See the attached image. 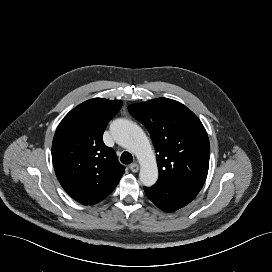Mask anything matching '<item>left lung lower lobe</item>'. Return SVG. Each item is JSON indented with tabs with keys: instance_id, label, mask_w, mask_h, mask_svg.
Instances as JSON below:
<instances>
[{
	"instance_id": "obj_1",
	"label": "left lung lower lobe",
	"mask_w": 272,
	"mask_h": 272,
	"mask_svg": "<svg viewBox=\"0 0 272 272\" xmlns=\"http://www.w3.org/2000/svg\"><path fill=\"white\" fill-rule=\"evenodd\" d=\"M148 198L160 209L166 212L176 211L190 203L198 194L188 187L167 183L156 182L150 188H144Z\"/></svg>"
}]
</instances>
